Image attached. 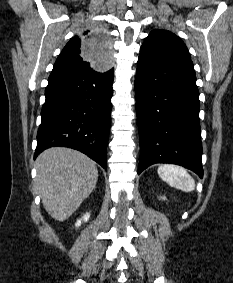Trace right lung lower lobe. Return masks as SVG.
I'll use <instances>...</instances> for the list:
<instances>
[{
	"label": "right lung lower lobe",
	"instance_id": "obj_1",
	"mask_svg": "<svg viewBox=\"0 0 233 283\" xmlns=\"http://www.w3.org/2000/svg\"><path fill=\"white\" fill-rule=\"evenodd\" d=\"M113 68L52 72L45 90L34 159L45 149L79 150L107 170Z\"/></svg>",
	"mask_w": 233,
	"mask_h": 283
}]
</instances>
